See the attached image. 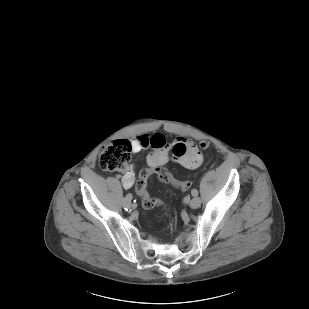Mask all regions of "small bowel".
I'll list each match as a JSON object with an SVG mask.
<instances>
[{
    "mask_svg": "<svg viewBox=\"0 0 309 309\" xmlns=\"http://www.w3.org/2000/svg\"><path fill=\"white\" fill-rule=\"evenodd\" d=\"M148 148L152 149L147 157V163L151 168L171 160L184 168L195 169L203 161L200 145L183 136H178L171 146L167 144L165 136L159 132L151 135L142 133L132 140L133 152L137 153ZM121 180L125 188H131L135 181V168L133 166L127 168Z\"/></svg>",
    "mask_w": 309,
    "mask_h": 309,
    "instance_id": "small-bowel-1",
    "label": "small bowel"
}]
</instances>
